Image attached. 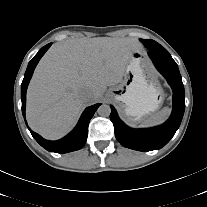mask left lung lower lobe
Returning <instances> with one entry per match:
<instances>
[{
  "label": "left lung lower lobe",
  "instance_id": "left-lung-lower-lobe-1",
  "mask_svg": "<svg viewBox=\"0 0 207 207\" xmlns=\"http://www.w3.org/2000/svg\"><path fill=\"white\" fill-rule=\"evenodd\" d=\"M148 54L173 90V110L170 118L154 128L132 129L119 119L113 106L110 114L118 142L124 147L138 151L157 150L165 146L179 128L185 111L184 86L176 62L166 49L150 50Z\"/></svg>",
  "mask_w": 207,
  "mask_h": 207
}]
</instances>
